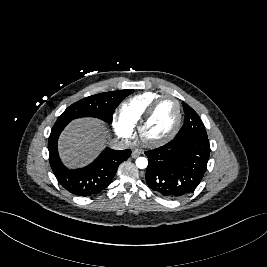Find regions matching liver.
I'll list each match as a JSON object with an SVG mask.
<instances>
[{
	"label": "liver",
	"mask_w": 267,
	"mask_h": 267,
	"mask_svg": "<svg viewBox=\"0 0 267 267\" xmlns=\"http://www.w3.org/2000/svg\"><path fill=\"white\" fill-rule=\"evenodd\" d=\"M104 123L95 118H81L71 122L59 138V154L70 168L89 163L104 147Z\"/></svg>",
	"instance_id": "1"
}]
</instances>
